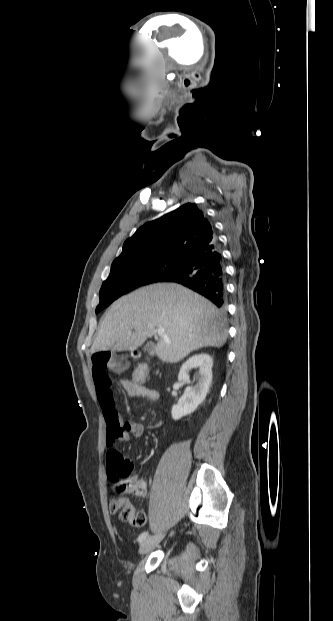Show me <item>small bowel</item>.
<instances>
[{"mask_svg": "<svg viewBox=\"0 0 333 621\" xmlns=\"http://www.w3.org/2000/svg\"><path fill=\"white\" fill-rule=\"evenodd\" d=\"M118 366V361L110 351H96L91 358V371L96 388L99 404L103 410L106 423V443H107V467L109 471L128 467L133 469L132 463L117 449L119 443L129 440L130 434L135 437L143 436L146 428L142 424L124 421L120 416L114 394L111 389L112 380L109 371ZM120 388L131 397L145 398L149 401H156L159 394L154 389H150L143 384L134 390H129L127 380L119 383ZM161 423L151 427L160 426ZM132 488L130 492L138 497H144L147 493L145 480L134 475L131 477Z\"/></svg>", "mask_w": 333, "mask_h": 621, "instance_id": "obj_1", "label": "small bowel"}]
</instances>
